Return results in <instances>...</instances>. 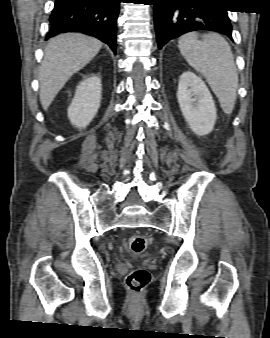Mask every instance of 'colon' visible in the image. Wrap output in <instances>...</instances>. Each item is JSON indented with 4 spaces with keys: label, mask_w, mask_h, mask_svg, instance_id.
<instances>
[{
    "label": "colon",
    "mask_w": 270,
    "mask_h": 338,
    "mask_svg": "<svg viewBox=\"0 0 270 338\" xmlns=\"http://www.w3.org/2000/svg\"><path fill=\"white\" fill-rule=\"evenodd\" d=\"M131 251L136 254H141L145 251L148 240L144 235H133L128 241ZM150 281V274L142 268L132 270L126 277L128 288L134 293L143 291Z\"/></svg>",
    "instance_id": "5ec220e1"
}]
</instances>
